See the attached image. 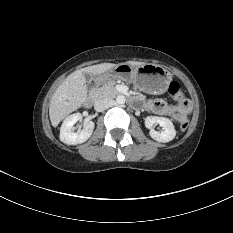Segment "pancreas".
Masks as SVG:
<instances>
[{"mask_svg":"<svg viewBox=\"0 0 233 233\" xmlns=\"http://www.w3.org/2000/svg\"><path fill=\"white\" fill-rule=\"evenodd\" d=\"M115 81L108 82L102 87L96 88L92 91L93 97L96 99L102 98H114L119 94V91L115 88Z\"/></svg>","mask_w":233,"mask_h":233,"instance_id":"obj_1","label":"pancreas"}]
</instances>
